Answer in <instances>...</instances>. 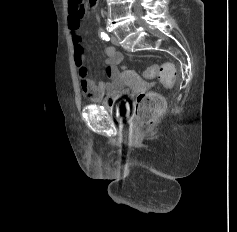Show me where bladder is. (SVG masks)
Masks as SVG:
<instances>
[{"label": "bladder", "instance_id": "31cf9c89", "mask_svg": "<svg viewBox=\"0 0 237 232\" xmlns=\"http://www.w3.org/2000/svg\"><path fill=\"white\" fill-rule=\"evenodd\" d=\"M127 94H128V92L126 90H124L121 93V98L118 101H116L114 104L109 105L107 103H102V105L106 109L112 110L116 117L123 118L126 116V114L128 113V109H129V100L127 98H125L127 96Z\"/></svg>", "mask_w": 237, "mask_h": 232}]
</instances>
